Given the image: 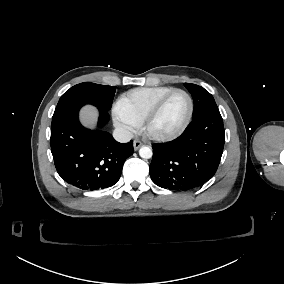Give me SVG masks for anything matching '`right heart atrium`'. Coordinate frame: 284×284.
I'll use <instances>...</instances> for the list:
<instances>
[{"label":"right heart atrium","mask_w":284,"mask_h":284,"mask_svg":"<svg viewBox=\"0 0 284 284\" xmlns=\"http://www.w3.org/2000/svg\"><path fill=\"white\" fill-rule=\"evenodd\" d=\"M114 113L118 120L119 131L121 132V134L126 137L133 136L138 129V124L136 123V121L118 113L117 111H115Z\"/></svg>","instance_id":"d8ad5b80"}]
</instances>
